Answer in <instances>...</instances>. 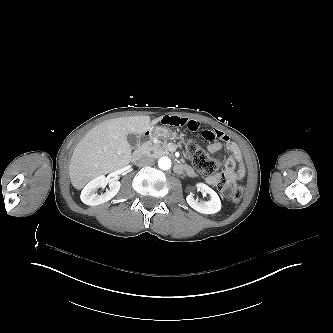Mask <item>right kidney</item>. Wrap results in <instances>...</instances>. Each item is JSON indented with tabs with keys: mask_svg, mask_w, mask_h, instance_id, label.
<instances>
[{
	"mask_svg": "<svg viewBox=\"0 0 333 333\" xmlns=\"http://www.w3.org/2000/svg\"><path fill=\"white\" fill-rule=\"evenodd\" d=\"M110 186V190L99 195L96 193L97 189ZM121 182L115 178L106 179L104 176L97 177L92 180L82 191L81 200L89 206H97L110 201L119 192Z\"/></svg>",
	"mask_w": 333,
	"mask_h": 333,
	"instance_id": "right-kidney-1",
	"label": "right kidney"
}]
</instances>
